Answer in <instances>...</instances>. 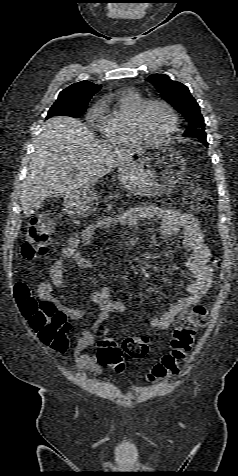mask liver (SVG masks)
<instances>
[{
  "instance_id": "6515ba94",
  "label": "liver",
  "mask_w": 238,
  "mask_h": 476,
  "mask_svg": "<svg viewBox=\"0 0 238 476\" xmlns=\"http://www.w3.org/2000/svg\"><path fill=\"white\" fill-rule=\"evenodd\" d=\"M142 151L134 146L99 144L78 119L66 116L48 119L42 126L22 185L20 202L24 215L34 214L47 197L68 195L91 186Z\"/></svg>"
}]
</instances>
